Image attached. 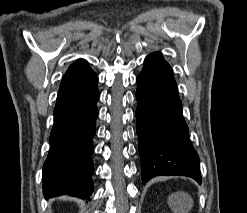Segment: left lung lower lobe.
Here are the masks:
<instances>
[{
	"instance_id": "left-lung-lower-lobe-1",
	"label": "left lung lower lobe",
	"mask_w": 247,
	"mask_h": 213,
	"mask_svg": "<svg viewBox=\"0 0 247 213\" xmlns=\"http://www.w3.org/2000/svg\"><path fill=\"white\" fill-rule=\"evenodd\" d=\"M136 99L143 184L158 175L189 176L200 184L199 157L189 138L172 69L161 53L144 60Z\"/></svg>"
}]
</instances>
